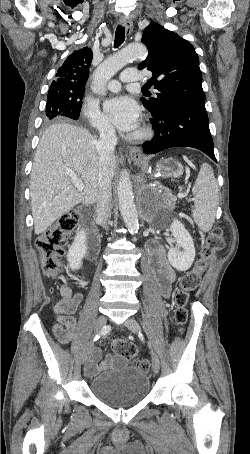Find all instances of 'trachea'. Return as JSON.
<instances>
[{
  "label": "trachea",
  "instance_id": "3493384b",
  "mask_svg": "<svg viewBox=\"0 0 250 454\" xmlns=\"http://www.w3.org/2000/svg\"><path fill=\"white\" fill-rule=\"evenodd\" d=\"M125 40V28L121 25H118L115 32V41L114 47H119ZM148 86H143V89L148 90Z\"/></svg>",
  "mask_w": 250,
  "mask_h": 454
}]
</instances>
